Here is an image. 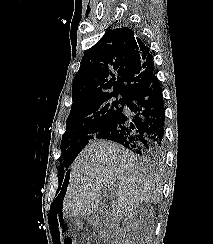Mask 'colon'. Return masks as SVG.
<instances>
[{"mask_svg":"<svg viewBox=\"0 0 213 244\" xmlns=\"http://www.w3.org/2000/svg\"><path fill=\"white\" fill-rule=\"evenodd\" d=\"M63 244H76V242L72 238H66L64 239Z\"/></svg>","mask_w":213,"mask_h":244,"instance_id":"obj_1","label":"colon"}]
</instances>
